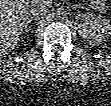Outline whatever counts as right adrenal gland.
<instances>
[{
	"mask_svg": "<svg viewBox=\"0 0 111 106\" xmlns=\"http://www.w3.org/2000/svg\"><path fill=\"white\" fill-rule=\"evenodd\" d=\"M33 20H39V17L38 16H30V18H28L25 22V28H27L29 26V23Z\"/></svg>",
	"mask_w": 111,
	"mask_h": 106,
	"instance_id": "right-adrenal-gland-1",
	"label": "right adrenal gland"
}]
</instances>
